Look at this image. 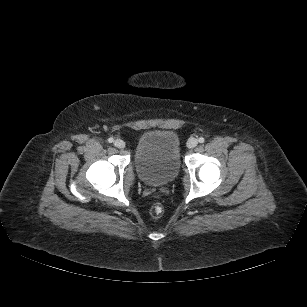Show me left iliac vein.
Listing matches in <instances>:
<instances>
[{
  "instance_id": "4c4485c4",
  "label": "left iliac vein",
  "mask_w": 307,
  "mask_h": 307,
  "mask_svg": "<svg viewBox=\"0 0 307 307\" xmlns=\"http://www.w3.org/2000/svg\"><path fill=\"white\" fill-rule=\"evenodd\" d=\"M198 144V141L197 139L195 138H190L188 141H187V147L190 148V149H193L197 146Z\"/></svg>"
}]
</instances>
